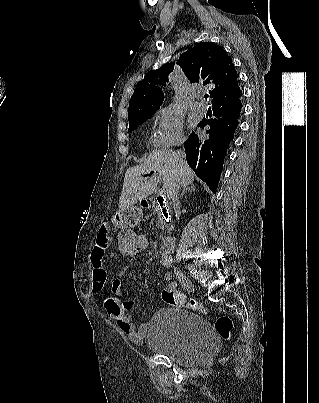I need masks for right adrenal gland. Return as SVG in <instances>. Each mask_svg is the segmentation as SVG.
<instances>
[{
	"mask_svg": "<svg viewBox=\"0 0 319 403\" xmlns=\"http://www.w3.org/2000/svg\"><path fill=\"white\" fill-rule=\"evenodd\" d=\"M195 190H196V188H195L194 184H190L189 186L185 187V188L182 190V193L180 194V199L183 198V196H184V194H185L186 192H192V191H195Z\"/></svg>",
	"mask_w": 319,
	"mask_h": 403,
	"instance_id": "obj_1",
	"label": "right adrenal gland"
}]
</instances>
